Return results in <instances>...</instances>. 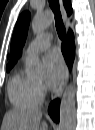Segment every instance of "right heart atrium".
I'll return each instance as SVG.
<instances>
[{
	"instance_id": "right-heart-atrium-1",
	"label": "right heart atrium",
	"mask_w": 95,
	"mask_h": 130,
	"mask_svg": "<svg viewBox=\"0 0 95 130\" xmlns=\"http://www.w3.org/2000/svg\"><path fill=\"white\" fill-rule=\"evenodd\" d=\"M37 86H38V89H39L40 93L43 95L44 92H45V87H44V85L39 82V83H37Z\"/></svg>"
}]
</instances>
